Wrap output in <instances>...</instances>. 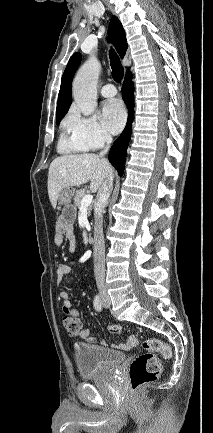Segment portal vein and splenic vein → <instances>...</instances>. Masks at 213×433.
<instances>
[{"label":"portal vein and splenic vein","mask_w":213,"mask_h":433,"mask_svg":"<svg viewBox=\"0 0 213 433\" xmlns=\"http://www.w3.org/2000/svg\"><path fill=\"white\" fill-rule=\"evenodd\" d=\"M93 201V196L88 194L85 195L81 201V207H88Z\"/></svg>","instance_id":"obj_1"}]
</instances>
